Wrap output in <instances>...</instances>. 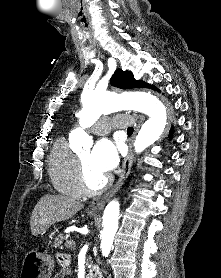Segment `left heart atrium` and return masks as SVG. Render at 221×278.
Wrapping results in <instances>:
<instances>
[{"label":"left heart atrium","mask_w":221,"mask_h":278,"mask_svg":"<svg viewBox=\"0 0 221 278\" xmlns=\"http://www.w3.org/2000/svg\"><path fill=\"white\" fill-rule=\"evenodd\" d=\"M118 161V146L110 139L98 141L91 152L92 166L104 175L113 171Z\"/></svg>","instance_id":"39dd6f15"}]
</instances>
